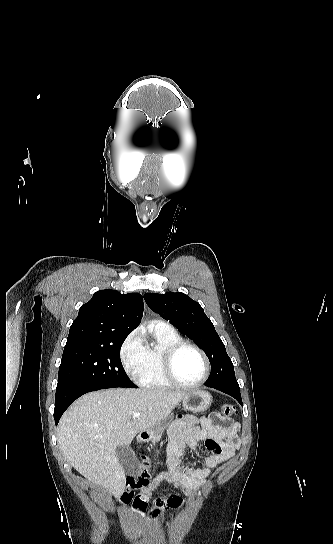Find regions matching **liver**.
Wrapping results in <instances>:
<instances>
[{
	"instance_id": "obj_1",
	"label": "liver",
	"mask_w": 333,
	"mask_h": 544,
	"mask_svg": "<svg viewBox=\"0 0 333 544\" xmlns=\"http://www.w3.org/2000/svg\"><path fill=\"white\" fill-rule=\"evenodd\" d=\"M187 392L114 388L85 394L63 414L57 441L65 459L86 479L119 497L126 483L116 456L141 431L166 419ZM134 413H141L133 418Z\"/></svg>"
}]
</instances>
